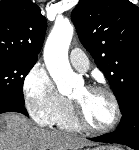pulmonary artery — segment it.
Returning <instances> with one entry per match:
<instances>
[{
    "label": "pulmonary artery",
    "mask_w": 139,
    "mask_h": 150,
    "mask_svg": "<svg viewBox=\"0 0 139 150\" xmlns=\"http://www.w3.org/2000/svg\"><path fill=\"white\" fill-rule=\"evenodd\" d=\"M70 62L75 69L82 72L86 71L89 67V60L87 56L79 48H74L70 52Z\"/></svg>",
    "instance_id": "pulmonary-artery-1"
}]
</instances>
